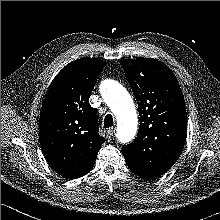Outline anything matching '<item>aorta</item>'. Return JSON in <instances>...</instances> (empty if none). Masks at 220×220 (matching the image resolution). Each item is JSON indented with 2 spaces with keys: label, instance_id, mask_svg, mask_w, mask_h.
<instances>
[{
  "label": "aorta",
  "instance_id": "1",
  "mask_svg": "<svg viewBox=\"0 0 220 220\" xmlns=\"http://www.w3.org/2000/svg\"><path fill=\"white\" fill-rule=\"evenodd\" d=\"M101 95L117 119L116 137L121 143L130 142L137 132L138 119L133 100L128 91L117 81L105 80Z\"/></svg>",
  "mask_w": 220,
  "mask_h": 220
}]
</instances>
